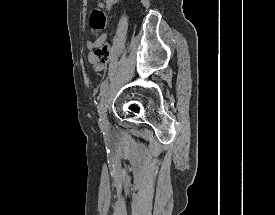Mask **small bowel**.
I'll list each match as a JSON object with an SVG mask.
<instances>
[{"label":"small bowel","mask_w":275,"mask_h":215,"mask_svg":"<svg viewBox=\"0 0 275 215\" xmlns=\"http://www.w3.org/2000/svg\"><path fill=\"white\" fill-rule=\"evenodd\" d=\"M96 6L99 7V8H104L105 7V4L99 2V0H97L96 2ZM105 41V36H100L99 38H97L96 40L92 41L91 39H87L86 40V46H87V49H88V60L90 63H92L94 65V69L99 71V70H102L105 65L104 64H101L97 61L95 55H94V52H95V49L102 43H104Z\"/></svg>","instance_id":"small-bowel-1"}]
</instances>
